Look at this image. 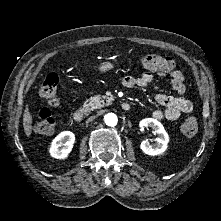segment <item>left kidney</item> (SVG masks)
Listing matches in <instances>:
<instances>
[{"label": "left kidney", "mask_w": 221, "mask_h": 221, "mask_svg": "<svg viewBox=\"0 0 221 221\" xmlns=\"http://www.w3.org/2000/svg\"><path fill=\"white\" fill-rule=\"evenodd\" d=\"M141 128L150 127L158 134L156 143L150 144L148 141H142L140 144L141 150L150 156L160 155L167 149V144L169 142V136L164 129L163 125L156 119L145 118L139 123Z\"/></svg>", "instance_id": "5707ae66"}]
</instances>
